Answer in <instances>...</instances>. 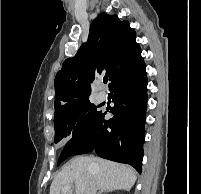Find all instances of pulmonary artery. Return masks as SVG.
Masks as SVG:
<instances>
[{"mask_svg": "<svg viewBox=\"0 0 201 194\" xmlns=\"http://www.w3.org/2000/svg\"><path fill=\"white\" fill-rule=\"evenodd\" d=\"M97 99L99 102H104L107 99V93L104 90L100 91Z\"/></svg>", "mask_w": 201, "mask_h": 194, "instance_id": "1", "label": "pulmonary artery"}]
</instances>
